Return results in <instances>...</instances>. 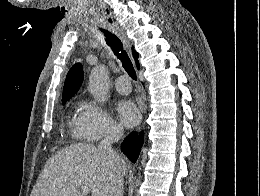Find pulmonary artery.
Listing matches in <instances>:
<instances>
[{"mask_svg": "<svg viewBox=\"0 0 260 196\" xmlns=\"http://www.w3.org/2000/svg\"><path fill=\"white\" fill-rule=\"evenodd\" d=\"M112 83L117 84L116 90L123 94L129 93L133 89V86L130 85V81H128L127 76H116V79H113Z\"/></svg>", "mask_w": 260, "mask_h": 196, "instance_id": "pulmonary-artery-1", "label": "pulmonary artery"}]
</instances>
